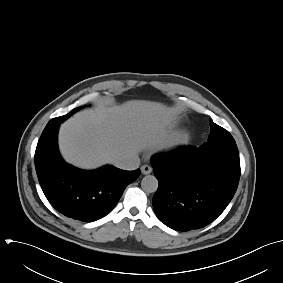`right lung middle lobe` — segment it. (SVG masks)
Returning <instances> with one entry per match:
<instances>
[{
  "label": "right lung middle lobe",
  "mask_w": 283,
  "mask_h": 283,
  "mask_svg": "<svg viewBox=\"0 0 283 283\" xmlns=\"http://www.w3.org/2000/svg\"><path fill=\"white\" fill-rule=\"evenodd\" d=\"M81 107H78V108H75L73 109L72 111H70L68 114L64 115V116H60V117H57V118H53L52 120H50L47 124V126H50L52 124H55L57 122L61 123L63 122L64 120H66L68 117H70L72 114H74L76 111H78ZM46 126V127H47Z\"/></svg>",
  "instance_id": "dd1d6c3e"
}]
</instances>
